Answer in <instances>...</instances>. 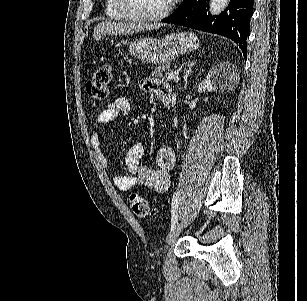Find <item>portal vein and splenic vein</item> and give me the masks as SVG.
<instances>
[{
	"label": "portal vein and splenic vein",
	"mask_w": 307,
	"mask_h": 301,
	"mask_svg": "<svg viewBox=\"0 0 307 301\" xmlns=\"http://www.w3.org/2000/svg\"><path fill=\"white\" fill-rule=\"evenodd\" d=\"M167 78H174L175 82H178V72H170V74H166Z\"/></svg>",
	"instance_id": "obj_1"
}]
</instances>
